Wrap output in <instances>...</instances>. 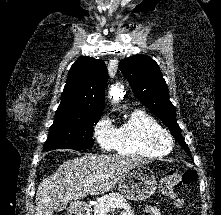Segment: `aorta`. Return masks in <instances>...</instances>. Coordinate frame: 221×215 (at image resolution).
I'll use <instances>...</instances> for the list:
<instances>
[{"mask_svg":"<svg viewBox=\"0 0 221 215\" xmlns=\"http://www.w3.org/2000/svg\"><path fill=\"white\" fill-rule=\"evenodd\" d=\"M121 91H122V89L119 88L118 85L111 87L110 95L113 96V100L114 101H119V97H120Z\"/></svg>","mask_w":221,"mask_h":215,"instance_id":"obj_1","label":"aorta"}]
</instances>
